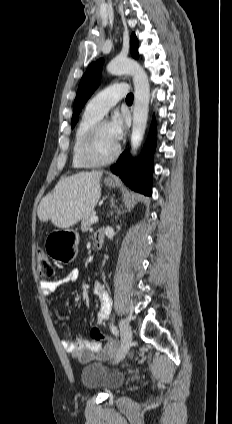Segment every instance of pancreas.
Returning <instances> with one entry per match:
<instances>
[{
  "label": "pancreas",
  "instance_id": "pancreas-1",
  "mask_svg": "<svg viewBox=\"0 0 232 424\" xmlns=\"http://www.w3.org/2000/svg\"><path fill=\"white\" fill-rule=\"evenodd\" d=\"M94 216H96V213H95V211H92V212H91V213H89L86 217H84V219L82 220V223H81V230H82L83 232H86V231H88V230L90 229L91 225L93 224V223L91 222V219H92Z\"/></svg>",
  "mask_w": 232,
  "mask_h": 424
}]
</instances>
